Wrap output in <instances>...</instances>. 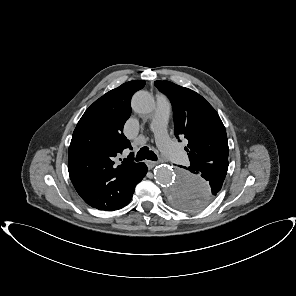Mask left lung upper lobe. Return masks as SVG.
I'll return each instance as SVG.
<instances>
[{
  "mask_svg": "<svg viewBox=\"0 0 296 296\" xmlns=\"http://www.w3.org/2000/svg\"><path fill=\"white\" fill-rule=\"evenodd\" d=\"M155 86L172 102L175 136L185 137L191 165L228 162V142L225 127L215 109L198 93L169 81H155ZM190 165V166H191ZM189 166V167H190ZM194 193L179 192L173 204L180 209L195 211Z\"/></svg>",
  "mask_w": 296,
  "mask_h": 296,
  "instance_id": "5c2ea615",
  "label": "left lung upper lobe"
}]
</instances>
